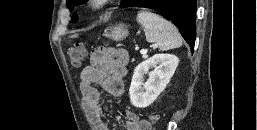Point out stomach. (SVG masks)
Masks as SVG:
<instances>
[{"label": "stomach", "mask_w": 257, "mask_h": 130, "mask_svg": "<svg viewBox=\"0 0 257 130\" xmlns=\"http://www.w3.org/2000/svg\"><path fill=\"white\" fill-rule=\"evenodd\" d=\"M128 27L125 24H118L111 29L110 34L108 35L115 41L122 40L128 36Z\"/></svg>", "instance_id": "0dacf381"}]
</instances>
